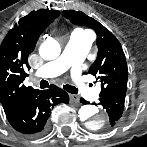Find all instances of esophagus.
Returning a JSON list of instances; mask_svg holds the SVG:
<instances>
[{"instance_id": "1", "label": "esophagus", "mask_w": 147, "mask_h": 147, "mask_svg": "<svg viewBox=\"0 0 147 147\" xmlns=\"http://www.w3.org/2000/svg\"><path fill=\"white\" fill-rule=\"evenodd\" d=\"M69 97L72 102L79 103V97L77 95L70 94Z\"/></svg>"}]
</instances>
